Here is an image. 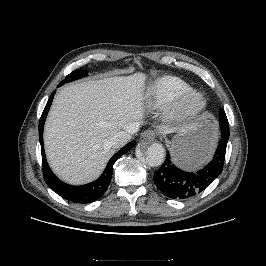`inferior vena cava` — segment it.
Returning a JSON list of instances; mask_svg holds the SVG:
<instances>
[{"mask_svg": "<svg viewBox=\"0 0 266 266\" xmlns=\"http://www.w3.org/2000/svg\"><path fill=\"white\" fill-rule=\"evenodd\" d=\"M139 129V124L136 122L131 123L128 128L124 131H119L116 133L111 139L110 143L113 146V148H121L124 145H126L133 134H135Z\"/></svg>", "mask_w": 266, "mask_h": 266, "instance_id": "1", "label": "inferior vena cava"}]
</instances>
